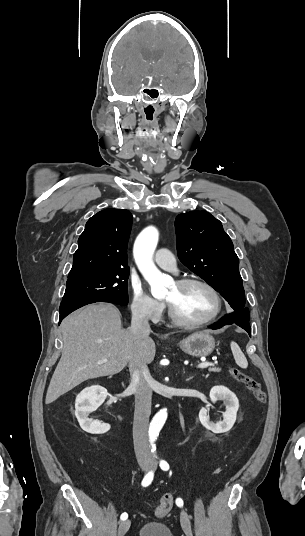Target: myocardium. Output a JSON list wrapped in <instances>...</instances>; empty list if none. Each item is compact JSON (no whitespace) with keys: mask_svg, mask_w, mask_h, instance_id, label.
<instances>
[{"mask_svg":"<svg viewBox=\"0 0 305 536\" xmlns=\"http://www.w3.org/2000/svg\"><path fill=\"white\" fill-rule=\"evenodd\" d=\"M176 284L181 288L189 287V286L196 285V284L203 285L207 287L208 289H210L216 295L218 302H219L217 311L208 319L203 320V321H189L186 318H184L172 305H170L166 301L169 316L176 324L183 326V327H187V328H203L214 323L225 312L226 302H225V298L223 294L215 285H213L209 281L203 278H199V277H187V278L178 280Z\"/></svg>","mask_w":305,"mask_h":536,"instance_id":"1","label":"myocardium"}]
</instances>
